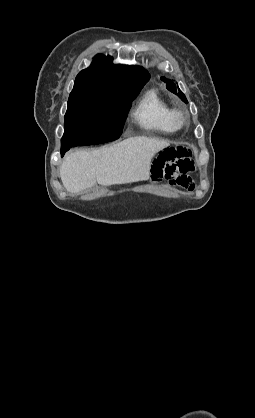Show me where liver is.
Masks as SVG:
<instances>
[{"label":"liver","mask_w":255,"mask_h":418,"mask_svg":"<svg viewBox=\"0 0 255 418\" xmlns=\"http://www.w3.org/2000/svg\"><path fill=\"white\" fill-rule=\"evenodd\" d=\"M169 145L168 141L139 136L98 150L70 152L60 166L63 186L70 193H79L96 182L110 186L145 181L152 158Z\"/></svg>","instance_id":"liver-1"}]
</instances>
